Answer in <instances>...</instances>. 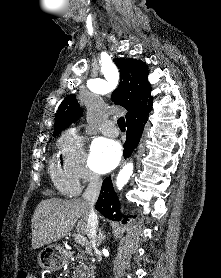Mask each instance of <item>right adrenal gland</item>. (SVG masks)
<instances>
[{
	"label": "right adrenal gland",
	"instance_id": "1",
	"mask_svg": "<svg viewBox=\"0 0 221 278\" xmlns=\"http://www.w3.org/2000/svg\"><path fill=\"white\" fill-rule=\"evenodd\" d=\"M106 239V235L104 234V232L102 231V229H99V233H98V244H100L103 240Z\"/></svg>",
	"mask_w": 221,
	"mask_h": 278
}]
</instances>
